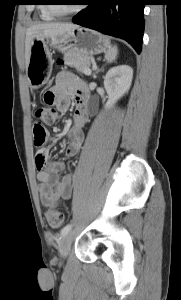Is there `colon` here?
<instances>
[{
	"instance_id": "obj_1",
	"label": "colon",
	"mask_w": 181,
	"mask_h": 300,
	"mask_svg": "<svg viewBox=\"0 0 181 300\" xmlns=\"http://www.w3.org/2000/svg\"><path fill=\"white\" fill-rule=\"evenodd\" d=\"M54 99V95L50 92H47L44 95V100L46 101L47 105L45 107H38L34 112L35 118L41 122L36 123L33 127L34 146L37 149L36 164L38 166H42L45 162L44 156L38 154V152L43 148L48 138L47 129L43 124L53 123L58 118V112L52 106ZM44 215L47 223L53 228L60 227L65 221L64 213L53 206L47 207Z\"/></svg>"
}]
</instances>
